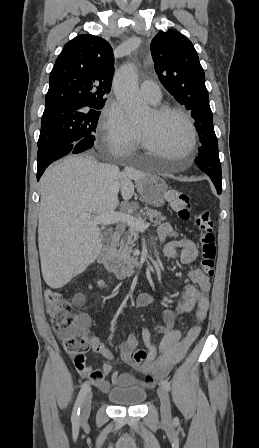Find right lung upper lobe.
I'll return each mask as SVG.
<instances>
[{"label":"right lung upper lobe","instance_id":"obj_1","mask_svg":"<svg viewBox=\"0 0 259 448\" xmlns=\"http://www.w3.org/2000/svg\"><path fill=\"white\" fill-rule=\"evenodd\" d=\"M114 56L103 38L82 34L69 41L50 74L44 114L104 105L111 89Z\"/></svg>","mask_w":259,"mask_h":448}]
</instances>
